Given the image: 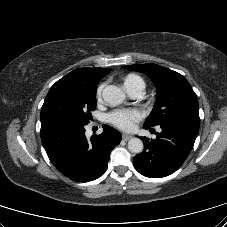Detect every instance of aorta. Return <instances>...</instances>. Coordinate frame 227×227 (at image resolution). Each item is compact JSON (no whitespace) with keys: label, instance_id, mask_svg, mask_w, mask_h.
Returning <instances> with one entry per match:
<instances>
[{"label":"aorta","instance_id":"762f6f07","mask_svg":"<svg viewBox=\"0 0 227 227\" xmlns=\"http://www.w3.org/2000/svg\"><path fill=\"white\" fill-rule=\"evenodd\" d=\"M102 96L104 101L110 106H116L121 104L125 99L124 92L115 85L106 86L103 89ZM144 145L141 139L131 138L128 141V149L132 153H141L143 151Z\"/></svg>","mask_w":227,"mask_h":227}]
</instances>
